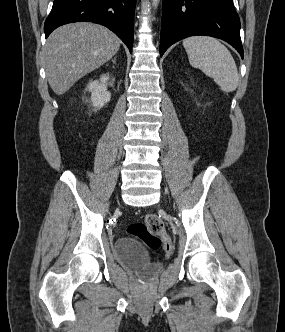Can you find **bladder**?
Here are the masks:
<instances>
[{"mask_svg": "<svg viewBox=\"0 0 285 332\" xmlns=\"http://www.w3.org/2000/svg\"><path fill=\"white\" fill-rule=\"evenodd\" d=\"M114 255L122 266L145 276L152 275L161 268L159 263L152 262L146 249L133 237L118 238L114 244Z\"/></svg>", "mask_w": 285, "mask_h": 332, "instance_id": "bladder-1", "label": "bladder"}]
</instances>
